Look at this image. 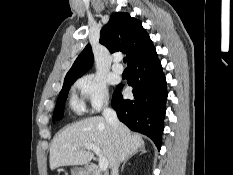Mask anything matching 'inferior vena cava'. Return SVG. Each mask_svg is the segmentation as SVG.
<instances>
[{
  "label": "inferior vena cava",
  "instance_id": "obj_1",
  "mask_svg": "<svg viewBox=\"0 0 233 175\" xmlns=\"http://www.w3.org/2000/svg\"><path fill=\"white\" fill-rule=\"evenodd\" d=\"M103 116H104L105 120L111 125L112 130H113V134L117 139L119 136V121H118L116 112L113 109L108 108L106 106L103 110ZM118 168H119V162L116 163L112 167L111 175H119Z\"/></svg>",
  "mask_w": 233,
  "mask_h": 175
}]
</instances>
